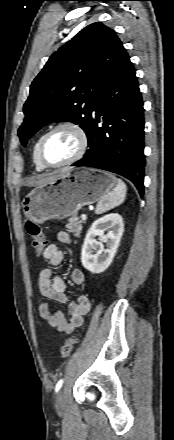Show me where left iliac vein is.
<instances>
[{
    "mask_svg": "<svg viewBox=\"0 0 174 440\" xmlns=\"http://www.w3.org/2000/svg\"><path fill=\"white\" fill-rule=\"evenodd\" d=\"M55 409L59 414L65 411L64 390H60L56 395Z\"/></svg>",
    "mask_w": 174,
    "mask_h": 440,
    "instance_id": "1",
    "label": "left iliac vein"
}]
</instances>
